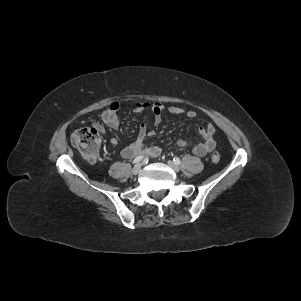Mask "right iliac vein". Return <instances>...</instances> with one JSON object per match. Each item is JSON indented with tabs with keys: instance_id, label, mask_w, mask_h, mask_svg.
<instances>
[{
	"instance_id": "right-iliac-vein-1",
	"label": "right iliac vein",
	"mask_w": 301,
	"mask_h": 301,
	"mask_svg": "<svg viewBox=\"0 0 301 301\" xmlns=\"http://www.w3.org/2000/svg\"><path fill=\"white\" fill-rule=\"evenodd\" d=\"M141 167H142L141 163L136 164L132 169V173L134 175L138 174L139 171L141 170Z\"/></svg>"
}]
</instances>
